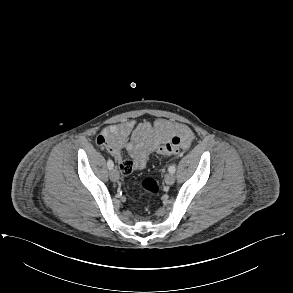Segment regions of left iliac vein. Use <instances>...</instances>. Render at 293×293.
Wrapping results in <instances>:
<instances>
[{
	"label": "left iliac vein",
	"mask_w": 293,
	"mask_h": 293,
	"mask_svg": "<svg viewBox=\"0 0 293 293\" xmlns=\"http://www.w3.org/2000/svg\"><path fill=\"white\" fill-rule=\"evenodd\" d=\"M174 181H175V176L172 173H168L165 176V182H166V184L172 185L174 183Z\"/></svg>",
	"instance_id": "1"
}]
</instances>
